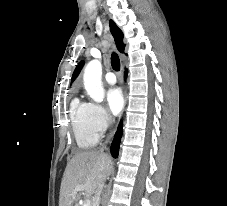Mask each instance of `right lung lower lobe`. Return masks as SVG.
<instances>
[{
  "label": "right lung lower lobe",
  "instance_id": "98d812e1",
  "mask_svg": "<svg viewBox=\"0 0 227 206\" xmlns=\"http://www.w3.org/2000/svg\"><path fill=\"white\" fill-rule=\"evenodd\" d=\"M121 132H122V125L120 124L119 127H118V131L116 132L114 140H113L111 147H110L111 154L115 158L118 156V152H119Z\"/></svg>",
  "mask_w": 227,
  "mask_h": 206
}]
</instances>
